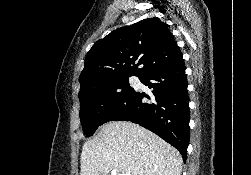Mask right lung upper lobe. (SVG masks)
<instances>
[{
  "mask_svg": "<svg viewBox=\"0 0 251 175\" xmlns=\"http://www.w3.org/2000/svg\"><path fill=\"white\" fill-rule=\"evenodd\" d=\"M182 60L168 25L157 17L148 18L98 40L86 56L79 81L82 88L107 84L123 76L140 78Z\"/></svg>",
  "mask_w": 251,
  "mask_h": 175,
  "instance_id": "right-lung-upper-lobe-1",
  "label": "right lung upper lobe"
}]
</instances>
